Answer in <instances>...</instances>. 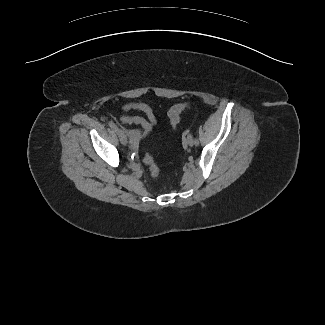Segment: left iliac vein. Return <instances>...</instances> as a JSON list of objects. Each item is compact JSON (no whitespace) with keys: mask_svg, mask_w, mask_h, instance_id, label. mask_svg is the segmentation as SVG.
Wrapping results in <instances>:
<instances>
[{"mask_svg":"<svg viewBox=\"0 0 325 325\" xmlns=\"http://www.w3.org/2000/svg\"><path fill=\"white\" fill-rule=\"evenodd\" d=\"M186 142L189 146H193L195 144V140L191 134L187 136Z\"/></svg>","mask_w":325,"mask_h":325,"instance_id":"4c4485c4","label":"left iliac vein"}]
</instances>
